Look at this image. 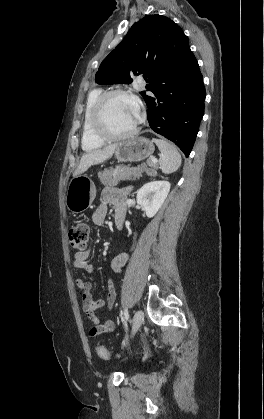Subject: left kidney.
<instances>
[{
    "label": "left kidney",
    "instance_id": "5707ae66",
    "mask_svg": "<svg viewBox=\"0 0 264 419\" xmlns=\"http://www.w3.org/2000/svg\"><path fill=\"white\" fill-rule=\"evenodd\" d=\"M170 191L168 181H152L144 184L137 192V204L148 218L153 217L164 203Z\"/></svg>",
    "mask_w": 264,
    "mask_h": 419
}]
</instances>
